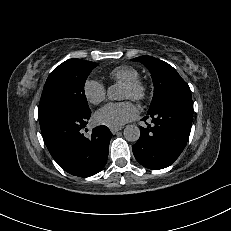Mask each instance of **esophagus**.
Masks as SVG:
<instances>
[{"label": "esophagus", "mask_w": 231, "mask_h": 231, "mask_svg": "<svg viewBox=\"0 0 231 231\" xmlns=\"http://www.w3.org/2000/svg\"><path fill=\"white\" fill-rule=\"evenodd\" d=\"M121 129H122L121 127H120V128H110V131H111L112 134H116V133H118Z\"/></svg>", "instance_id": "34e87169"}]
</instances>
